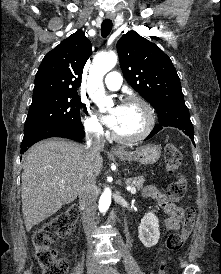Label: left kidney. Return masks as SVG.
Returning a JSON list of instances; mask_svg holds the SVG:
<instances>
[{
  "instance_id": "obj_1",
  "label": "left kidney",
  "mask_w": 221,
  "mask_h": 274,
  "mask_svg": "<svg viewBox=\"0 0 221 274\" xmlns=\"http://www.w3.org/2000/svg\"><path fill=\"white\" fill-rule=\"evenodd\" d=\"M138 237L145 247L150 248L158 243L160 237L159 221L153 212L146 213L138 227Z\"/></svg>"
}]
</instances>
